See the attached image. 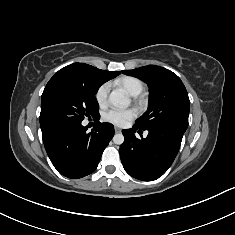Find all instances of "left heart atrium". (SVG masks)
Returning a JSON list of instances; mask_svg holds the SVG:
<instances>
[{
	"label": "left heart atrium",
	"instance_id": "left-heart-atrium-1",
	"mask_svg": "<svg viewBox=\"0 0 235 235\" xmlns=\"http://www.w3.org/2000/svg\"><path fill=\"white\" fill-rule=\"evenodd\" d=\"M137 116L134 109L113 107L104 113V120L117 126H125Z\"/></svg>",
	"mask_w": 235,
	"mask_h": 235
}]
</instances>
